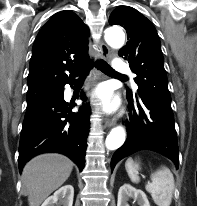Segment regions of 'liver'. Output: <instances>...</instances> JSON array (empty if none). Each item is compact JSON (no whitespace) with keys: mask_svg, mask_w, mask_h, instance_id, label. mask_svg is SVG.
Returning <instances> with one entry per match:
<instances>
[{"mask_svg":"<svg viewBox=\"0 0 197 206\" xmlns=\"http://www.w3.org/2000/svg\"><path fill=\"white\" fill-rule=\"evenodd\" d=\"M73 162L67 157L49 153L31 159L23 168L22 185L29 206L41 203L68 179Z\"/></svg>","mask_w":197,"mask_h":206,"instance_id":"obj_1","label":"liver"}]
</instances>
